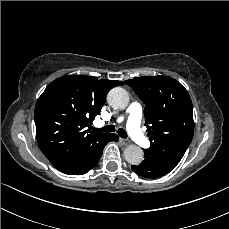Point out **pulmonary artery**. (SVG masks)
Segmentation results:
<instances>
[{
  "mask_svg": "<svg viewBox=\"0 0 229 229\" xmlns=\"http://www.w3.org/2000/svg\"><path fill=\"white\" fill-rule=\"evenodd\" d=\"M143 118V107L142 104L138 101L130 103L125 111L118 116L117 122L123 123L126 122V130L132 136L133 140L139 145L146 147L149 145L150 140L147 136L142 133L141 123ZM104 121L97 122V126H104Z\"/></svg>",
  "mask_w": 229,
  "mask_h": 229,
  "instance_id": "obj_1",
  "label": "pulmonary artery"
}]
</instances>
